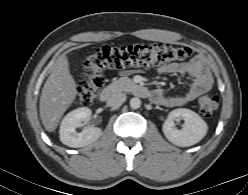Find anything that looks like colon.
Listing matches in <instances>:
<instances>
[{"label":"colon","instance_id":"5ec220e1","mask_svg":"<svg viewBox=\"0 0 248 195\" xmlns=\"http://www.w3.org/2000/svg\"><path fill=\"white\" fill-rule=\"evenodd\" d=\"M192 53L190 47L174 46L169 43L99 47L84 61L83 80L76 94L77 103L83 107L92 104L104 85L102 72L105 69L160 66L187 59ZM217 107V97L202 95L199 98V112L204 118L211 117Z\"/></svg>","mask_w":248,"mask_h":195}]
</instances>
